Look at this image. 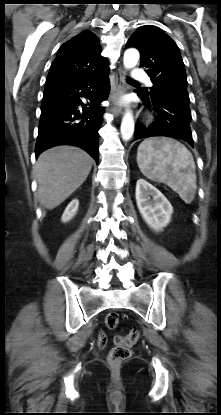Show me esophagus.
<instances>
[{
  "instance_id": "esophagus-1",
  "label": "esophagus",
  "mask_w": 221,
  "mask_h": 415,
  "mask_svg": "<svg viewBox=\"0 0 221 415\" xmlns=\"http://www.w3.org/2000/svg\"><path fill=\"white\" fill-rule=\"evenodd\" d=\"M125 81H126V71L123 68H119L116 74L115 86L110 95L111 101L113 103L112 111L119 115L122 114V97L125 92Z\"/></svg>"
}]
</instances>
